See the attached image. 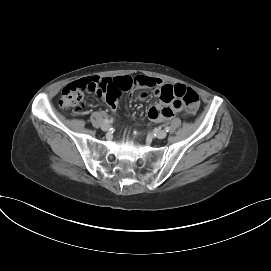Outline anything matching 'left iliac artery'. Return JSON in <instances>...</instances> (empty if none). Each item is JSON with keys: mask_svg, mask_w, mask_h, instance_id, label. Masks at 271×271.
Instances as JSON below:
<instances>
[{"mask_svg": "<svg viewBox=\"0 0 271 271\" xmlns=\"http://www.w3.org/2000/svg\"><path fill=\"white\" fill-rule=\"evenodd\" d=\"M165 130H166V132H169L170 131V127H165Z\"/></svg>", "mask_w": 271, "mask_h": 271, "instance_id": "obj_1", "label": "left iliac artery"}]
</instances>
